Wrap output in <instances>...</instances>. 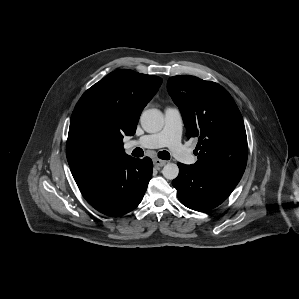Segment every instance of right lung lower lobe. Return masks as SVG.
<instances>
[{
  "label": "right lung lower lobe",
  "instance_id": "right-lung-lower-lobe-1",
  "mask_svg": "<svg viewBox=\"0 0 299 299\" xmlns=\"http://www.w3.org/2000/svg\"><path fill=\"white\" fill-rule=\"evenodd\" d=\"M70 169L91 206L105 215L120 216L142 201L153 164L148 157L137 159L128 155Z\"/></svg>",
  "mask_w": 299,
  "mask_h": 299
}]
</instances>
